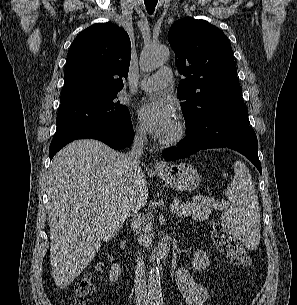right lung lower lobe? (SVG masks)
<instances>
[{
  "label": "right lung lower lobe",
  "mask_w": 297,
  "mask_h": 305,
  "mask_svg": "<svg viewBox=\"0 0 297 305\" xmlns=\"http://www.w3.org/2000/svg\"><path fill=\"white\" fill-rule=\"evenodd\" d=\"M131 124V121L127 124H98L74 131L59 142L50 145V160L66 144L81 138L96 139L114 149L125 148L131 144L134 136Z\"/></svg>",
  "instance_id": "obj_1"
}]
</instances>
